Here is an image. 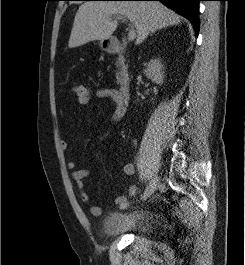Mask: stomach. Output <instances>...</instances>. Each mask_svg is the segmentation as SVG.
Here are the masks:
<instances>
[{"label":"stomach","instance_id":"1","mask_svg":"<svg viewBox=\"0 0 245 265\" xmlns=\"http://www.w3.org/2000/svg\"><path fill=\"white\" fill-rule=\"evenodd\" d=\"M100 47H101L103 50H107L110 46H109V44H108L105 40H101V41H100Z\"/></svg>","mask_w":245,"mask_h":265}]
</instances>
